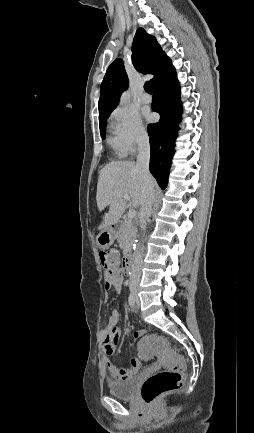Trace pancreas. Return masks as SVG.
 <instances>
[{
    "mask_svg": "<svg viewBox=\"0 0 254 433\" xmlns=\"http://www.w3.org/2000/svg\"><path fill=\"white\" fill-rule=\"evenodd\" d=\"M136 232L137 228L135 226V222L132 219H127L121 223L118 232V239L123 248L133 243Z\"/></svg>",
    "mask_w": 254,
    "mask_h": 433,
    "instance_id": "1",
    "label": "pancreas"
}]
</instances>
